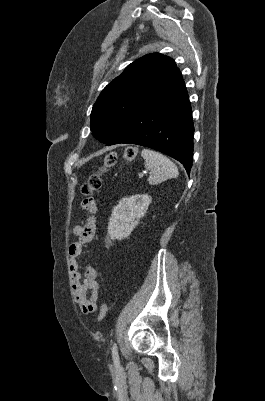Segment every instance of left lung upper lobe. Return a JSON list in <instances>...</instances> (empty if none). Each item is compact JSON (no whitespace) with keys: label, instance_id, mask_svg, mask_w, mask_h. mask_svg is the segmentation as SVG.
Returning <instances> with one entry per match:
<instances>
[{"label":"left lung upper lobe","instance_id":"1","mask_svg":"<svg viewBox=\"0 0 265 401\" xmlns=\"http://www.w3.org/2000/svg\"><path fill=\"white\" fill-rule=\"evenodd\" d=\"M180 76L174 60L159 53L129 64L103 89L92 108L90 127L94 137L107 143Z\"/></svg>","mask_w":265,"mask_h":401}]
</instances>
